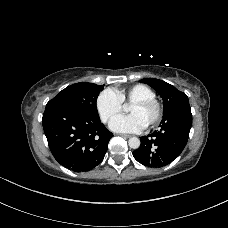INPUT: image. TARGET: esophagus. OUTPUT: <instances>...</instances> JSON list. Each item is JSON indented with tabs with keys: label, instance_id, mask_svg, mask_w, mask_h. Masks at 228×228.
Returning a JSON list of instances; mask_svg holds the SVG:
<instances>
[{
	"label": "esophagus",
	"instance_id": "1",
	"mask_svg": "<svg viewBox=\"0 0 228 228\" xmlns=\"http://www.w3.org/2000/svg\"><path fill=\"white\" fill-rule=\"evenodd\" d=\"M119 136L124 137V138H130L131 137V135H128V134H119Z\"/></svg>",
	"mask_w": 228,
	"mask_h": 228
}]
</instances>
